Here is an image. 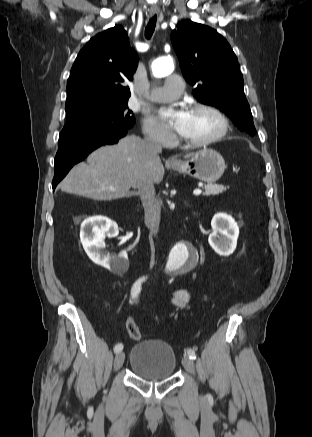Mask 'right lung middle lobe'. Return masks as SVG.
<instances>
[{
	"instance_id": "right-lung-middle-lobe-1",
	"label": "right lung middle lobe",
	"mask_w": 312,
	"mask_h": 437,
	"mask_svg": "<svg viewBox=\"0 0 312 437\" xmlns=\"http://www.w3.org/2000/svg\"><path fill=\"white\" fill-rule=\"evenodd\" d=\"M65 110L67 120L59 136V149L94 137L128 130L135 123L127 101L82 102L68 106Z\"/></svg>"
}]
</instances>
